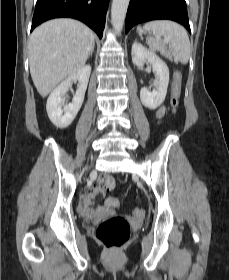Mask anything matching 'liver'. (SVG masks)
<instances>
[{"label":"liver","instance_id":"1","mask_svg":"<svg viewBox=\"0 0 229 280\" xmlns=\"http://www.w3.org/2000/svg\"><path fill=\"white\" fill-rule=\"evenodd\" d=\"M94 45L91 29L73 19H54L37 27L29 39V67L39 94L46 97L80 71Z\"/></svg>","mask_w":229,"mask_h":280}]
</instances>
